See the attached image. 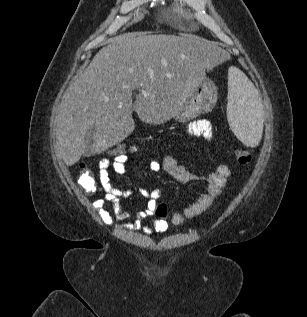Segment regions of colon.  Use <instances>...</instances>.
<instances>
[{
    "mask_svg": "<svg viewBox=\"0 0 307 317\" xmlns=\"http://www.w3.org/2000/svg\"><path fill=\"white\" fill-rule=\"evenodd\" d=\"M134 146L126 145V144H116L112 146L110 149H108L109 156L112 157V159H118V158H125L129 159V155L132 153H135ZM234 157L236 161L240 165H248L252 161L251 154L243 149H236L234 151ZM79 183L84 190V192L88 195H91L95 193L97 190V181L93 174V172L88 169L84 164H81V174L79 178ZM156 214L161 217L165 218L167 216V208L164 204H160L156 209Z\"/></svg>",
    "mask_w": 307,
    "mask_h": 317,
    "instance_id": "5ec220e1",
    "label": "colon"
}]
</instances>
